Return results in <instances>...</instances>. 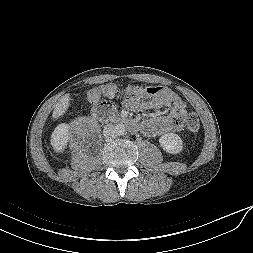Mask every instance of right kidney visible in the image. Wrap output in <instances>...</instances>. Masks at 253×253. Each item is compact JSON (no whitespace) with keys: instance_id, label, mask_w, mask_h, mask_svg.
Here are the masks:
<instances>
[{"instance_id":"1","label":"right kidney","mask_w":253,"mask_h":253,"mask_svg":"<svg viewBox=\"0 0 253 253\" xmlns=\"http://www.w3.org/2000/svg\"><path fill=\"white\" fill-rule=\"evenodd\" d=\"M69 139L68 126L61 124L55 128L51 135V145L56 152L61 153L66 148Z\"/></svg>"}]
</instances>
